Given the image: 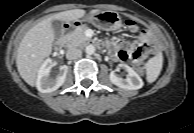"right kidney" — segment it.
<instances>
[{"mask_svg":"<svg viewBox=\"0 0 194 133\" xmlns=\"http://www.w3.org/2000/svg\"><path fill=\"white\" fill-rule=\"evenodd\" d=\"M52 61L51 59L45 60L39 69L36 87L41 93H50L57 90L63 85L66 75L68 72V67L66 65L59 67V72L57 75H52L51 72Z\"/></svg>","mask_w":194,"mask_h":133,"instance_id":"right-kidney-1","label":"right kidney"}]
</instances>
